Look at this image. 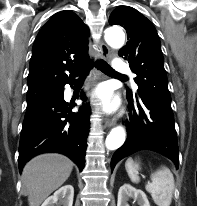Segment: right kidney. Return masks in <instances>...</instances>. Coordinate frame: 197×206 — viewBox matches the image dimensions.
I'll return each instance as SVG.
<instances>
[{
	"mask_svg": "<svg viewBox=\"0 0 197 206\" xmlns=\"http://www.w3.org/2000/svg\"><path fill=\"white\" fill-rule=\"evenodd\" d=\"M74 188L72 185H65L58 189L52 196L44 201L41 206H72Z\"/></svg>",
	"mask_w": 197,
	"mask_h": 206,
	"instance_id": "right-kidney-1",
	"label": "right kidney"
}]
</instances>
